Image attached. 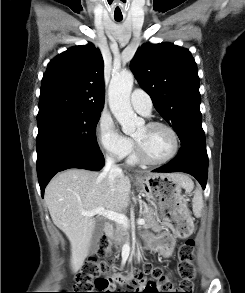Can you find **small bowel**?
I'll use <instances>...</instances> for the list:
<instances>
[{
	"label": "small bowel",
	"mask_w": 245,
	"mask_h": 293,
	"mask_svg": "<svg viewBox=\"0 0 245 293\" xmlns=\"http://www.w3.org/2000/svg\"><path fill=\"white\" fill-rule=\"evenodd\" d=\"M160 245L158 251L163 258H167L172 254L174 248V237L170 232H164L160 235Z\"/></svg>",
	"instance_id": "c3829d8e"
}]
</instances>
